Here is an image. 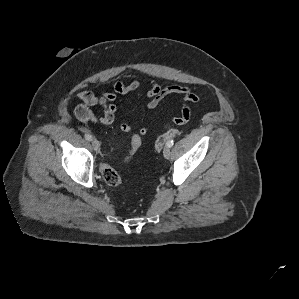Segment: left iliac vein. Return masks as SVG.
I'll return each instance as SVG.
<instances>
[{
	"label": "left iliac vein",
	"instance_id": "1",
	"mask_svg": "<svg viewBox=\"0 0 299 299\" xmlns=\"http://www.w3.org/2000/svg\"><path fill=\"white\" fill-rule=\"evenodd\" d=\"M163 155L166 159H169L171 155L170 147L166 146L163 150Z\"/></svg>",
	"mask_w": 299,
	"mask_h": 299
}]
</instances>
